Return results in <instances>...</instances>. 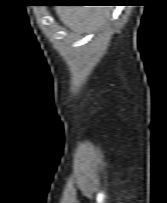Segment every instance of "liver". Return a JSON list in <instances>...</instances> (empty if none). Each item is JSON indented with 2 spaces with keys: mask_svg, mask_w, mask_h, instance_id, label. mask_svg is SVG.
Listing matches in <instances>:
<instances>
[{
  "mask_svg": "<svg viewBox=\"0 0 167 203\" xmlns=\"http://www.w3.org/2000/svg\"><path fill=\"white\" fill-rule=\"evenodd\" d=\"M56 12L71 30L90 32L105 24L110 9L101 6H62L56 8Z\"/></svg>",
  "mask_w": 167,
  "mask_h": 203,
  "instance_id": "6515ba94",
  "label": "liver"
}]
</instances>
